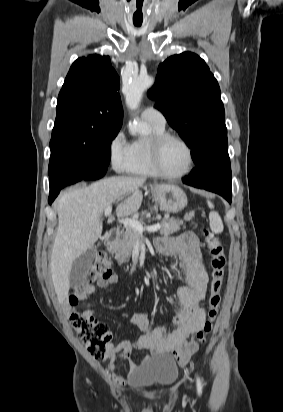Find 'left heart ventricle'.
<instances>
[{"instance_id": "left-heart-ventricle-1", "label": "left heart ventricle", "mask_w": 283, "mask_h": 412, "mask_svg": "<svg viewBox=\"0 0 283 412\" xmlns=\"http://www.w3.org/2000/svg\"><path fill=\"white\" fill-rule=\"evenodd\" d=\"M189 164L185 146L177 140L166 142L161 153V166L168 173L183 172Z\"/></svg>"}]
</instances>
